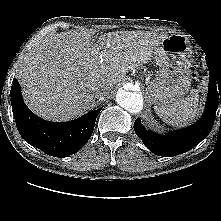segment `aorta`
I'll return each instance as SVG.
<instances>
[{
	"label": "aorta",
	"mask_w": 221,
	"mask_h": 221,
	"mask_svg": "<svg viewBox=\"0 0 221 221\" xmlns=\"http://www.w3.org/2000/svg\"><path fill=\"white\" fill-rule=\"evenodd\" d=\"M116 101L122 108L131 113L140 112L143 108V98L138 92L120 89L116 94Z\"/></svg>",
	"instance_id": "762f6f07"
}]
</instances>
